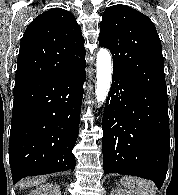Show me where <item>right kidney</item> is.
<instances>
[{
  "mask_svg": "<svg viewBox=\"0 0 178 195\" xmlns=\"http://www.w3.org/2000/svg\"><path fill=\"white\" fill-rule=\"evenodd\" d=\"M29 195H61V190L57 184L47 183L36 188Z\"/></svg>",
  "mask_w": 178,
  "mask_h": 195,
  "instance_id": "right-kidney-1",
  "label": "right kidney"
}]
</instances>
